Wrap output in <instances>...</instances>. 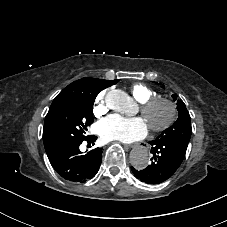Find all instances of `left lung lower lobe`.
<instances>
[{
    "label": "left lung lower lobe",
    "instance_id": "0a47b994",
    "mask_svg": "<svg viewBox=\"0 0 227 227\" xmlns=\"http://www.w3.org/2000/svg\"><path fill=\"white\" fill-rule=\"evenodd\" d=\"M149 143L152 146V163L141 171L131 169L144 182L158 184L175 173L185 157L188 144L166 139H155Z\"/></svg>",
    "mask_w": 227,
    "mask_h": 227
}]
</instances>
